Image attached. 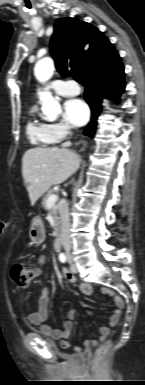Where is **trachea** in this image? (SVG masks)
<instances>
[{
  "label": "trachea",
  "mask_w": 145,
  "mask_h": 385,
  "mask_svg": "<svg viewBox=\"0 0 145 385\" xmlns=\"http://www.w3.org/2000/svg\"><path fill=\"white\" fill-rule=\"evenodd\" d=\"M70 74H71V76H72V78L74 79V80H76L78 83H80V84H83L84 82H83V79H82V77H81V75L76 71V70H71L70 71Z\"/></svg>",
  "instance_id": "obj_1"
}]
</instances>
